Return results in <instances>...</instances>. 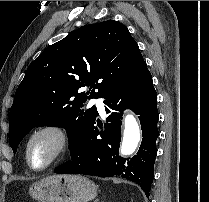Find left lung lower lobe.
Instances as JSON below:
<instances>
[{
	"mask_svg": "<svg viewBox=\"0 0 209 202\" xmlns=\"http://www.w3.org/2000/svg\"><path fill=\"white\" fill-rule=\"evenodd\" d=\"M106 112L110 113L104 128L96 117L83 138L70 150L71 160L58 167L55 173L119 176L140 185L149 197L154 178L157 121V94L146 62L124 78L104 96ZM129 108L139 115L142 143L137 155L131 159L119 157L122 112ZM97 124V125H96Z\"/></svg>",
	"mask_w": 209,
	"mask_h": 202,
	"instance_id": "left-lung-lower-lobe-1",
	"label": "left lung lower lobe"
}]
</instances>
